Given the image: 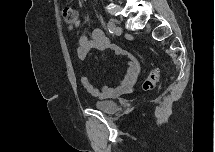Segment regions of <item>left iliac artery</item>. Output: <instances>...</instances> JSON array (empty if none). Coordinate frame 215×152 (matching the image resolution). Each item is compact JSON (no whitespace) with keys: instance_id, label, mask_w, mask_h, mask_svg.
Listing matches in <instances>:
<instances>
[{"instance_id":"1","label":"left iliac artery","mask_w":215,"mask_h":152,"mask_svg":"<svg viewBox=\"0 0 215 152\" xmlns=\"http://www.w3.org/2000/svg\"><path fill=\"white\" fill-rule=\"evenodd\" d=\"M114 26H115V24L112 21H109L107 23V29H108L109 33H113Z\"/></svg>"}]
</instances>
